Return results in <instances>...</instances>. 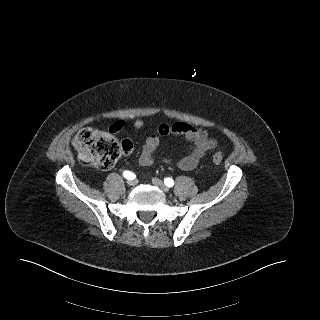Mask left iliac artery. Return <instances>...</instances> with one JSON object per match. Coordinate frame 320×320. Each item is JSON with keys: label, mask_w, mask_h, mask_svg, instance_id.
Wrapping results in <instances>:
<instances>
[{"label": "left iliac artery", "mask_w": 320, "mask_h": 320, "mask_svg": "<svg viewBox=\"0 0 320 320\" xmlns=\"http://www.w3.org/2000/svg\"><path fill=\"white\" fill-rule=\"evenodd\" d=\"M164 183H165V185L168 186V187H172V186L174 185V181H173V179H171V178H165V179H164Z\"/></svg>", "instance_id": "obj_1"}]
</instances>
